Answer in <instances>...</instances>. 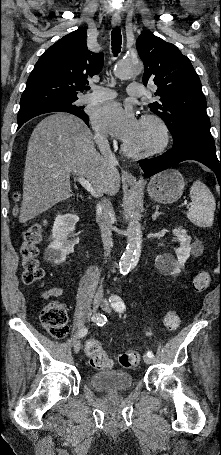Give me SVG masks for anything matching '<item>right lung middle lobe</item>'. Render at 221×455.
<instances>
[{
    "label": "right lung middle lobe",
    "instance_id": "right-lung-middle-lobe-1",
    "mask_svg": "<svg viewBox=\"0 0 221 455\" xmlns=\"http://www.w3.org/2000/svg\"><path fill=\"white\" fill-rule=\"evenodd\" d=\"M78 98H71V99H66V100H61L59 102L47 105V106H41V107H33V108H27V109H20L18 113V119L32 114V113H48V112H68L71 114H74L78 117H80L82 120H87L88 116L87 114L82 110L81 107H77L74 105V102Z\"/></svg>",
    "mask_w": 221,
    "mask_h": 455
}]
</instances>
